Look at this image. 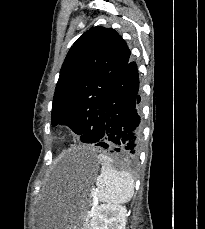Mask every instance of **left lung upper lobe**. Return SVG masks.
Listing matches in <instances>:
<instances>
[{"label":"left lung upper lobe","mask_w":205,"mask_h":229,"mask_svg":"<svg viewBox=\"0 0 205 229\" xmlns=\"http://www.w3.org/2000/svg\"><path fill=\"white\" fill-rule=\"evenodd\" d=\"M130 59L126 42L111 28L93 27L69 50L52 105V125L69 126L87 143V131L101 125L109 92Z\"/></svg>","instance_id":"left-lung-upper-lobe-1"}]
</instances>
